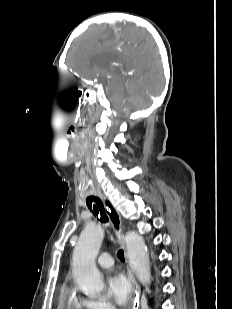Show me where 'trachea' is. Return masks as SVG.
I'll return each mask as SVG.
<instances>
[{"label": "trachea", "instance_id": "trachea-1", "mask_svg": "<svg viewBox=\"0 0 232 309\" xmlns=\"http://www.w3.org/2000/svg\"><path fill=\"white\" fill-rule=\"evenodd\" d=\"M70 136L75 140L78 141V137L72 131H69ZM86 204L89 210L95 215L102 223H107L109 221L108 216L106 215L103 202L101 199L93 194H90L86 199ZM117 256L121 261H124V253L123 250H119L117 252Z\"/></svg>", "mask_w": 232, "mask_h": 309}]
</instances>
